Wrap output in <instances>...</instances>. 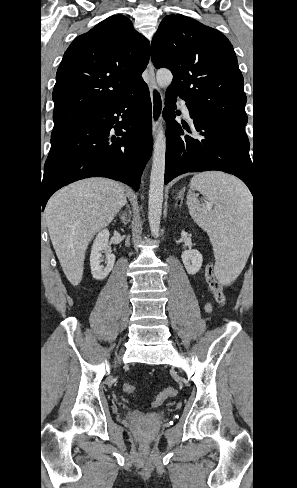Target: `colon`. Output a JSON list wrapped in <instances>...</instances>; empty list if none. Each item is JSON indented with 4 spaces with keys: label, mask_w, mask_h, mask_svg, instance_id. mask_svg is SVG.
I'll use <instances>...</instances> for the list:
<instances>
[{
    "label": "colon",
    "mask_w": 297,
    "mask_h": 488,
    "mask_svg": "<svg viewBox=\"0 0 297 488\" xmlns=\"http://www.w3.org/2000/svg\"><path fill=\"white\" fill-rule=\"evenodd\" d=\"M205 277L209 290L212 293L215 301L219 305H224L226 303V295L224 293L222 284L215 276L214 265L212 263L207 264L205 268ZM123 390L129 395H134L136 392V388L132 383H125L123 385ZM176 394L177 390L175 388H166L156 396L152 402V405L154 407L160 406L165 400L174 397Z\"/></svg>",
    "instance_id": "5ec220e1"
}]
</instances>
